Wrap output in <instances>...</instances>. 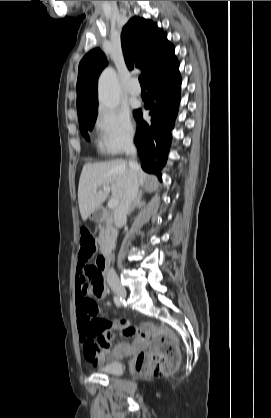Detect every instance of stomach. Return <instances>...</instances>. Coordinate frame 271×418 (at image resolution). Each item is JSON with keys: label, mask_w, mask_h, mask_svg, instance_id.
<instances>
[{"label": "stomach", "mask_w": 271, "mask_h": 418, "mask_svg": "<svg viewBox=\"0 0 271 418\" xmlns=\"http://www.w3.org/2000/svg\"><path fill=\"white\" fill-rule=\"evenodd\" d=\"M89 219L91 221H94V222H99L101 220V217L99 215V212L98 211H94L93 213H91L89 215Z\"/></svg>", "instance_id": "stomach-1"}]
</instances>
